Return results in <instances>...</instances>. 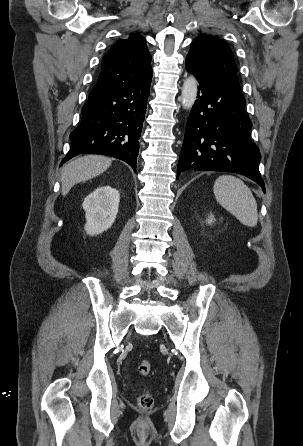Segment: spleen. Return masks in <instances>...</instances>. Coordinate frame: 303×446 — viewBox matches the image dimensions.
I'll use <instances>...</instances> for the list:
<instances>
[{"label":"spleen","instance_id":"spleen-1","mask_svg":"<svg viewBox=\"0 0 303 446\" xmlns=\"http://www.w3.org/2000/svg\"><path fill=\"white\" fill-rule=\"evenodd\" d=\"M216 200L233 214L242 224L257 225V203L251 190L244 182L232 175H222L214 183Z\"/></svg>","mask_w":303,"mask_h":446}]
</instances>
